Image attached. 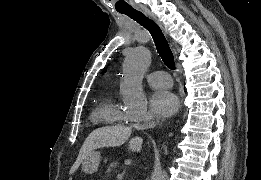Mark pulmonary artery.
Returning a JSON list of instances; mask_svg holds the SVG:
<instances>
[{
	"label": "pulmonary artery",
	"mask_w": 261,
	"mask_h": 180,
	"mask_svg": "<svg viewBox=\"0 0 261 180\" xmlns=\"http://www.w3.org/2000/svg\"><path fill=\"white\" fill-rule=\"evenodd\" d=\"M145 79L153 87L159 86V88H170L171 77L164 71H155L147 74Z\"/></svg>",
	"instance_id": "e3ab8cb5"
}]
</instances>
